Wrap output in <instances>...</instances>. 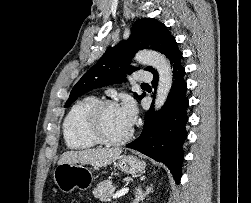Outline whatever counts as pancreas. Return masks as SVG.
<instances>
[{"label":"pancreas","mask_w":251,"mask_h":203,"mask_svg":"<svg viewBox=\"0 0 251 203\" xmlns=\"http://www.w3.org/2000/svg\"><path fill=\"white\" fill-rule=\"evenodd\" d=\"M113 185L111 180L100 182L93 190L94 197L102 202L109 200L113 196Z\"/></svg>","instance_id":"obj_1"}]
</instances>
